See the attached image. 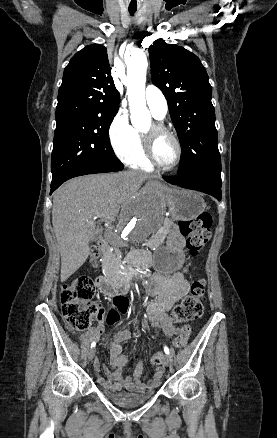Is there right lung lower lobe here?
Returning <instances> with one entry per match:
<instances>
[{
	"mask_svg": "<svg viewBox=\"0 0 277 438\" xmlns=\"http://www.w3.org/2000/svg\"><path fill=\"white\" fill-rule=\"evenodd\" d=\"M122 169H123V165H96V166H90V167H85V168H76V169L68 171L67 173H65L61 177L52 180L50 193H52L63 182H65L66 180H68L70 178H73L76 176H81V175H86V174L120 171Z\"/></svg>",
	"mask_w": 277,
	"mask_h": 438,
	"instance_id": "right-lung-lower-lobe-1",
	"label": "right lung lower lobe"
}]
</instances>
